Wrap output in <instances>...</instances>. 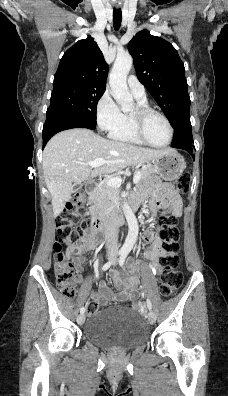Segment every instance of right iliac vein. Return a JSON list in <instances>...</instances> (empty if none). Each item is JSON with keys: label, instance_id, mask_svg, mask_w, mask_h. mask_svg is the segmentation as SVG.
<instances>
[{"label": "right iliac vein", "instance_id": "obj_1", "mask_svg": "<svg viewBox=\"0 0 228 396\" xmlns=\"http://www.w3.org/2000/svg\"><path fill=\"white\" fill-rule=\"evenodd\" d=\"M85 321V315L83 313H81L78 318H77V322L79 325H82Z\"/></svg>", "mask_w": 228, "mask_h": 396}]
</instances>
